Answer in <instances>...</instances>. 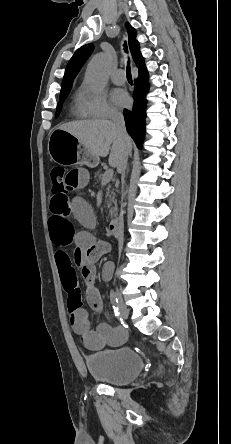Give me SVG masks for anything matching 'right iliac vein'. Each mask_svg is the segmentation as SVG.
Returning a JSON list of instances; mask_svg holds the SVG:
<instances>
[{
	"label": "right iliac vein",
	"instance_id": "63e3f726",
	"mask_svg": "<svg viewBox=\"0 0 231 444\" xmlns=\"http://www.w3.org/2000/svg\"><path fill=\"white\" fill-rule=\"evenodd\" d=\"M117 297H118V300H119V302H118V310H119L120 317L123 318V319H127L128 318V310H127V307L125 306V304H124V302H123L119 292H117Z\"/></svg>",
	"mask_w": 231,
	"mask_h": 444
}]
</instances>
